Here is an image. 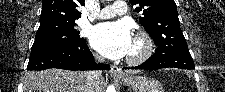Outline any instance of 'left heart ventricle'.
Instances as JSON below:
<instances>
[{
  "label": "left heart ventricle",
  "instance_id": "left-heart-ventricle-1",
  "mask_svg": "<svg viewBox=\"0 0 225 92\" xmlns=\"http://www.w3.org/2000/svg\"><path fill=\"white\" fill-rule=\"evenodd\" d=\"M138 52H139V47L135 42H133L129 55H136L138 54Z\"/></svg>",
  "mask_w": 225,
  "mask_h": 92
}]
</instances>
